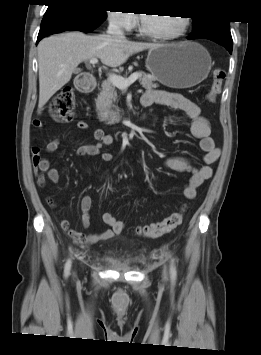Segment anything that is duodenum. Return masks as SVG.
I'll return each instance as SVG.
<instances>
[{
	"label": "duodenum",
	"instance_id": "duodenum-1",
	"mask_svg": "<svg viewBox=\"0 0 261 355\" xmlns=\"http://www.w3.org/2000/svg\"><path fill=\"white\" fill-rule=\"evenodd\" d=\"M97 86V80L92 75H82L76 82L78 91L82 93H88L95 89Z\"/></svg>",
	"mask_w": 261,
	"mask_h": 355
}]
</instances>
